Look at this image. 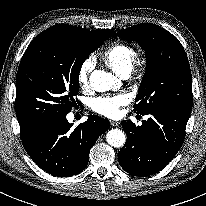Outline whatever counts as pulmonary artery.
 <instances>
[{
    "label": "pulmonary artery",
    "mask_w": 206,
    "mask_h": 206,
    "mask_svg": "<svg viewBox=\"0 0 206 206\" xmlns=\"http://www.w3.org/2000/svg\"><path fill=\"white\" fill-rule=\"evenodd\" d=\"M129 75H130V71H126L121 76L127 78Z\"/></svg>",
    "instance_id": "pulmonary-artery-1"
}]
</instances>
